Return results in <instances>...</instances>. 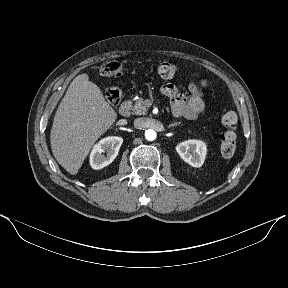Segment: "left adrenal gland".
<instances>
[{"label":"left adrenal gland","mask_w":288,"mask_h":288,"mask_svg":"<svg viewBox=\"0 0 288 288\" xmlns=\"http://www.w3.org/2000/svg\"><path fill=\"white\" fill-rule=\"evenodd\" d=\"M181 123L180 122H175V123H172L170 125H168V128H171V127H174V126H177V125H180Z\"/></svg>","instance_id":"a2214340"}]
</instances>
